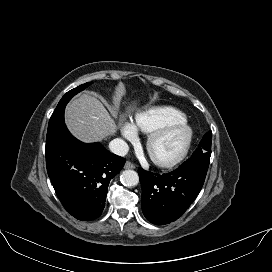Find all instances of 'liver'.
Returning <instances> with one entry per match:
<instances>
[{
	"label": "liver",
	"instance_id": "1",
	"mask_svg": "<svg viewBox=\"0 0 272 272\" xmlns=\"http://www.w3.org/2000/svg\"><path fill=\"white\" fill-rule=\"evenodd\" d=\"M65 124L74 137L86 143L102 141L116 132L108 111L89 94H82L67 105Z\"/></svg>",
	"mask_w": 272,
	"mask_h": 272
}]
</instances>
